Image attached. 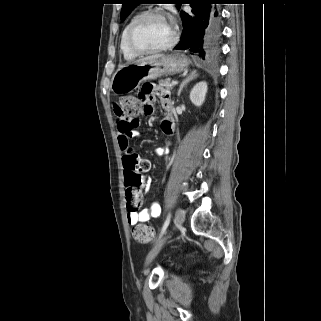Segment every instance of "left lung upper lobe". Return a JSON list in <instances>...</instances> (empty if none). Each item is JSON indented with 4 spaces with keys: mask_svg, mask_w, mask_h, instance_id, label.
<instances>
[{
    "mask_svg": "<svg viewBox=\"0 0 321 321\" xmlns=\"http://www.w3.org/2000/svg\"><path fill=\"white\" fill-rule=\"evenodd\" d=\"M177 8L180 7L182 0H174ZM144 0H122V10L120 14L121 21H124L126 17L132 12V10L138 5L143 3Z\"/></svg>",
    "mask_w": 321,
    "mask_h": 321,
    "instance_id": "1",
    "label": "left lung upper lobe"
}]
</instances>
